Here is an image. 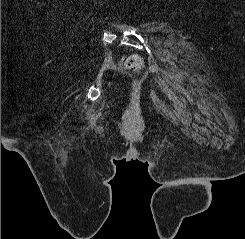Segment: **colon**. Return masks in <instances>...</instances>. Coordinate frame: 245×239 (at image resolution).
Instances as JSON below:
<instances>
[{"label": "colon", "mask_w": 245, "mask_h": 239, "mask_svg": "<svg viewBox=\"0 0 245 239\" xmlns=\"http://www.w3.org/2000/svg\"><path fill=\"white\" fill-rule=\"evenodd\" d=\"M124 69L136 73L142 68V60L138 55H128L122 60Z\"/></svg>", "instance_id": "5ec220e1"}]
</instances>
